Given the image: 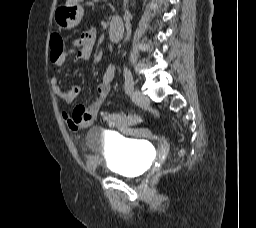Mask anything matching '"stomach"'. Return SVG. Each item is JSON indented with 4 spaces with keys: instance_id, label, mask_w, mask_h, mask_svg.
<instances>
[{
    "instance_id": "0dacf381",
    "label": "stomach",
    "mask_w": 256,
    "mask_h": 228,
    "mask_svg": "<svg viewBox=\"0 0 256 228\" xmlns=\"http://www.w3.org/2000/svg\"><path fill=\"white\" fill-rule=\"evenodd\" d=\"M83 7L80 4L62 5L55 9L54 21L60 29H71L77 26L83 17Z\"/></svg>"
}]
</instances>
